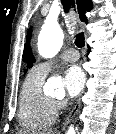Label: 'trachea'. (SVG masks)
I'll return each instance as SVG.
<instances>
[{"mask_svg":"<svg viewBox=\"0 0 116 134\" xmlns=\"http://www.w3.org/2000/svg\"><path fill=\"white\" fill-rule=\"evenodd\" d=\"M61 2H62V5L64 7V11L66 13L69 12L71 7L75 6L74 5V0H61ZM75 44L79 48H82V47L85 46V37H84V33L83 32L76 34V36H75Z\"/></svg>","mask_w":116,"mask_h":134,"instance_id":"3493384b","label":"trachea"}]
</instances>
